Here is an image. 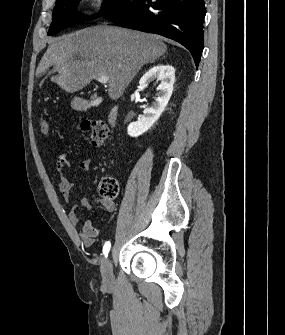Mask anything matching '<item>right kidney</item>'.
Masks as SVG:
<instances>
[{"label": "right kidney", "mask_w": 285, "mask_h": 335, "mask_svg": "<svg viewBox=\"0 0 285 335\" xmlns=\"http://www.w3.org/2000/svg\"><path fill=\"white\" fill-rule=\"evenodd\" d=\"M152 80H161L157 90H159L158 98H155L150 108H145L143 116L139 118L138 122H131L127 128L129 136L137 138L144 132H147L149 128H152L153 124L159 120L162 112H164L173 92V84L175 82V70L173 66H163L158 64L151 70H148L141 80H139L140 88H147L149 82Z\"/></svg>", "instance_id": "1"}]
</instances>
